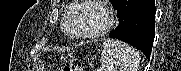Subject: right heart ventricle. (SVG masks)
Returning a JSON list of instances; mask_svg holds the SVG:
<instances>
[{
	"instance_id": "e07e8e85",
	"label": "right heart ventricle",
	"mask_w": 181,
	"mask_h": 71,
	"mask_svg": "<svg viewBox=\"0 0 181 71\" xmlns=\"http://www.w3.org/2000/svg\"><path fill=\"white\" fill-rule=\"evenodd\" d=\"M78 4L76 2H74L73 4H71L69 6V8L67 9L65 18H64V23H63V29L66 35H68L69 37H72V32L70 30V23L73 17L74 12L76 11Z\"/></svg>"
}]
</instances>
